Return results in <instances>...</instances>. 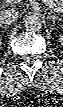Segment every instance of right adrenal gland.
<instances>
[{"label":"right adrenal gland","instance_id":"obj_1","mask_svg":"<svg viewBox=\"0 0 63 107\" xmlns=\"http://www.w3.org/2000/svg\"><path fill=\"white\" fill-rule=\"evenodd\" d=\"M0 27L2 28V29H5V30H7L9 27L8 26H4V25H0Z\"/></svg>","mask_w":63,"mask_h":107}]
</instances>
